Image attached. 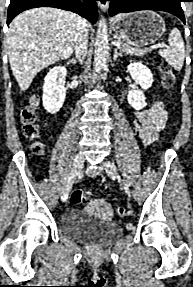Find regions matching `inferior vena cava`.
<instances>
[{"label":"inferior vena cava","instance_id":"602c4592","mask_svg":"<svg viewBox=\"0 0 193 287\" xmlns=\"http://www.w3.org/2000/svg\"><path fill=\"white\" fill-rule=\"evenodd\" d=\"M74 42L76 57L82 62L88 48V24L87 21L80 16L77 17V29Z\"/></svg>","mask_w":193,"mask_h":287}]
</instances>
